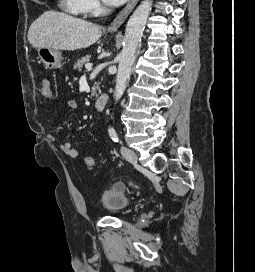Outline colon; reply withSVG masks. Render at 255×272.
<instances>
[{"label":"colon","mask_w":255,"mask_h":272,"mask_svg":"<svg viewBox=\"0 0 255 272\" xmlns=\"http://www.w3.org/2000/svg\"><path fill=\"white\" fill-rule=\"evenodd\" d=\"M40 94L46 100L54 99V92L50 80L43 79L40 87ZM83 165L87 170H91L94 167V160L92 156H85L83 158Z\"/></svg>","instance_id":"1"}]
</instances>
